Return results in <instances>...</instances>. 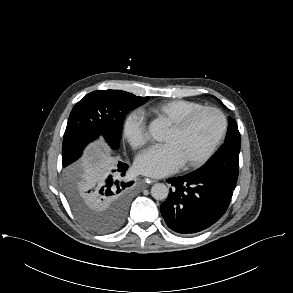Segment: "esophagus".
<instances>
[{"instance_id": "obj_1", "label": "esophagus", "mask_w": 293, "mask_h": 293, "mask_svg": "<svg viewBox=\"0 0 293 293\" xmlns=\"http://www.w3.org/2000/svg\"><path fill=\"white\" fill-rule=\"evenodd\" d=\"M145 181L148 183H156L157 182V180L156 179H150V178H145Z\"/></svg>"}]
</instances>
